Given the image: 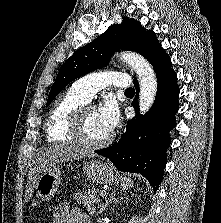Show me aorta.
Masks as SVG:
<instances>
[{
  "label": "aorta",
  "mask_w": 221,
  "mask_h": 223,
  "mask_svg": "<svg viewBox=\"0 0 221 223\" xmlns=\"http://www.w3.org/2000/svg\"><path fill=\"white\" fill-rule=\"evenodd\" d=\"M119 59L136 72L140 84L139 107L145 114L152 106L157 93L156 74L149 62L141 55L134 52L119 54Z\"/></svg>",
  "instance_id": "obj_1"
}]
</instances>
